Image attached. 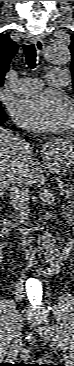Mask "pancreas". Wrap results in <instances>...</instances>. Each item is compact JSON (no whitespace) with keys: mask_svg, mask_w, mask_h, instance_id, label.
Returning <instances> with one entry per match:
<instances>
[{"mask_svg":"<svg viewBox=\"0 0 74 366\" xmlns=\"http://www.w3.org/2000/svg\"><path fill=\"white\" fill-rule=\"evenodd\" d=\"M62 190H65L64 192H66L67 194L72 193V191L70 189H62Z\"/></svg>","mask_w":74,"mask_h":366,"instance_id":"1","label":"pancreas"}]
</instances>
